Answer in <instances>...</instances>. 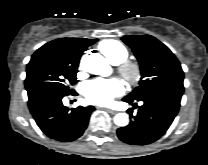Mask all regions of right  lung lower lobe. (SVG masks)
<instances>
[{
    "label": "right lung lower lobe",
    "instance_id": "right-lung-lower-lobe-1",
    "mask_svg": "<svg viewBox=\"0 0 208 165\" xmlns=\"http://www.w3.org/2000/svg\"><path fill=\"white\" fill-rule=\"evenodd\" d=\"M76 96L75 91L63 94L49 91L28 100L30 112L42 132L51 139L70 142L78 139L88 126L93 106L69 110L62 104V98Z\"/></svg>",
    "mask_w": 208,
    "mask_h": 165
}]
</instances>
